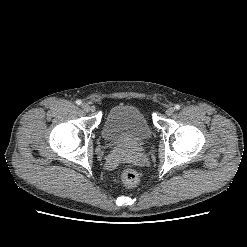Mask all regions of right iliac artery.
Wrapping results in <instances>:
<instances>
[{
  "mask_svg": "<svg viewBox=\"0 0 247 247\" xmlns=\"http://www.w3.org/2000/svg\"><path fill=\"white\" fill-rule=\"evenodd\" d=\"M76 104L77 105H81L82 104V101L81 100H76Z\"/></svg>",
  "mask_w": 247,
  "mask_h": 247,
  "instance_id": "obj_1",
  "label": "right iliac artery"
}]
</instances>
